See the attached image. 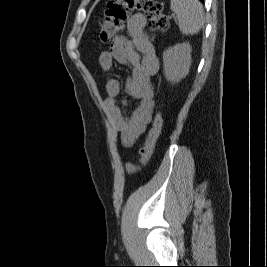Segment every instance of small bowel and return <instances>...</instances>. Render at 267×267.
Returning a JSON list of instances; mask_svg holds the SVG:
<instances>
[{
	"mask_svg": "<svg viewBox=\"0 0 267 267\" xmlns=\"http://www.w3.org/2000/svg\"><path fill=\"white\" fill-rule=\"evenodd\" d=\"M146 17L136 13L127 22V36H117L108 50L101 53L99 64L105 72H112L114 62L128 65L132 74L126 81L127 94L137 99V107L126 115L119 100L120 82L115 77L106 80V114L113 128L121 135L124 147H131L151 122L155 105L152 77L159 70V60L145 31Z\"/></svg>",
	"mask_w": 267,
	"mask_h": 267,
	"instance_id": "1",
	"label": "small bowel"
}]
</instances>
